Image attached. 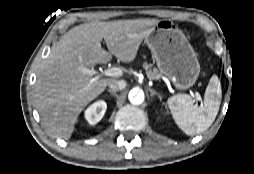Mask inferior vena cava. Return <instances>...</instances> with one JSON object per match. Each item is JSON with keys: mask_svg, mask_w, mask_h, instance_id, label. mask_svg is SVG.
I'll return each mask as SVG.
<instances>
[{"mask_svg": "<svg viewBox=\"0 0 254 174\" xmlns=\"http://www.w3.org/2000/svg\"><path fill=\"white\" fill-rule=\"evenodd\" d=\"M108 86L110 90L117 92L126 87V82L124 80H113Z\"/></svg>", "mask_w": 254, "mask_h": 174, "instance_id": "inferior-vena-cava-1", "label": "inferior vena cava"}]
</instances>
